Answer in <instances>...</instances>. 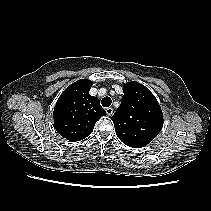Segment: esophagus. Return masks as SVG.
<instances>
[{"label":"esophagus","instance_id":"34e87169","mask_svg":"<svg viewBox=\"0 0 211 211\" xmlns=\"http://www.w3.org/2000/svg\"><path fill=\"white\" fill-rule=\"evenodd\" d=\"M105 111H106V113H107L108 116L113 115V108L112 107L106 108Z\"/></svg>","mask_w":211,"mask_h":211}]
</instances>
